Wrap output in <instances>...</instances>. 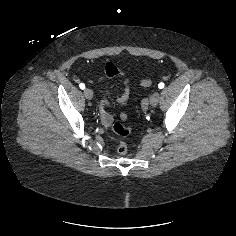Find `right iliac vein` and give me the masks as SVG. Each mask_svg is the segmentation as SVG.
<instances>
[{
    "label": "right iliac vein",
    "instance_id": "1",
    "mask_svg": "<svg viewBox=\"0 0 236 236\" xmlns=\"http://www.w3.org/2000/svg\"><path fill=\"white\" fill-rule=\"evenodd\" d=\"M84 96L86 97V99L91 100L93 98V92L90 89L86 88L84 89Z\"/></svg>",
    "mask_w": 236,
    "mask_h": 236
}]
</instances>
